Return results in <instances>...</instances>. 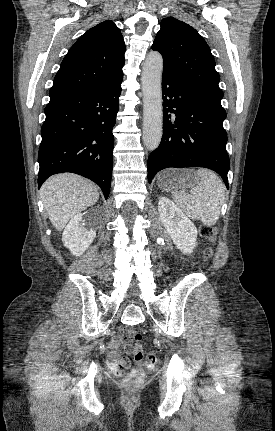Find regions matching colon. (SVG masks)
I'll return each mask as SVG.
<instances>
[{
	"label": "colon",
	"instance_id": "colon-1",
	"mask_svg": "<svg viewBox=\"0 0 275 431\" xmlns=\"http://www.w3.org/2000/svg\"><path fill=\"white\" fill-rule=\"evenodd\" d=\"M200 232L204 237L208 239H214L217 234V229L209 225H202L200 227ZM210 255L211 250H207L206 256L209 257ZM141 339L142 335L137 331L132 330L127 333L128 341H140ZM133 353L135 359L139 362H143V365L147 367H153L157 362V358L154 353H145L141 346L138 344L134 346ZM116 373L118 375H123L122 384L128 390L138 389L142 386L144 382V370L141 366L130 369L125 372V364H120L116 370Z\"/></svg>",
	"mask_w": 275,
	"mask_h": 431
}]
</instances>
